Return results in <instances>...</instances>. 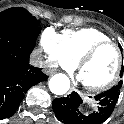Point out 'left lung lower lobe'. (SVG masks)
<instances>
[{
    "instance_id": "left-lung-lower-lobe-1",
    "label": "left lung lower lobe",
    "mask_w": 124,
    "mask_h": 124,
    "mask_svg": "<svg viewBox=\"0 0 124 124\" xmlns=\"http://www.w3.org/2000/svg\"><path fill=\"white\" fill-rule=\"evenodd\" d=\"M120 85L94 96L98 104L97 112L90 115L82 114L80 107L81 97L72 92L67 97L56 98L52 103L53 111L59 121L64 124H101L112 114L120 95Z\"/></svg>"
}]
</instances>
